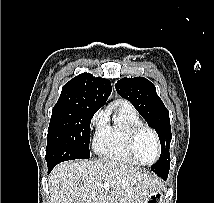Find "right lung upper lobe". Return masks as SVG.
Listing matches in <instances>:
<instances>
[{
  "label": "right lung upper lobe",
  "instance_id": "cb5924a9",
  "mask_svg": "<svg viewBox=\"0 0 214 203\" xmlns=\"http://www.w3.org/2000/svg\"><path fill=\"white\" fill-rule=\"evenodd\" d=\"M111 93V83L89 73L80 74L62 87L57 104L85 105L99 109Z\"/></svg>",
  "mask_w": 214,
  "mask_h": 203
}]
</instances>
